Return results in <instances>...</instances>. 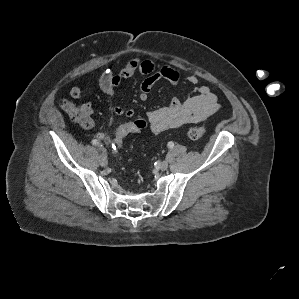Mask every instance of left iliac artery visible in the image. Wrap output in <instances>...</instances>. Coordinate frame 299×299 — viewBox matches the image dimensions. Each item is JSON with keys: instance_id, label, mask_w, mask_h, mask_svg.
Listing matches in <instances>:
<instances>
[{"instance_id": "obj_1", "label": "left iliac artery", "mask_w": 299, "mask_h": 299, "mask_svg": "<svg viewBox=\"0 0 299 299\" xmlns=\"http://www.w3.org/2000/svg\"><path fill=\"white\" fill-rule=\"evenodd\" d=\"M167 146H168L169 148H173V147H174V143H173L172 141H170V142H168Z\"/></svg>"}]
</instances>
